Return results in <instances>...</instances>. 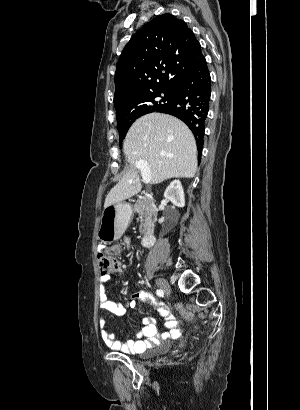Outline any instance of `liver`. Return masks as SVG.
I'll list each match as a JSON object with an SVG mask.
<instances>
[{
	"mask_svg": "<svg viewBox=\"0 0 300 410\" xmlns=\"http://www.w3.org/2000/svg\"><path fill=\"white\" fill-rule=\"evenodd\" d=\"M129 169L108 193L104 208L122 202L140 192L142 186L136 163L147 161L151 183L170 178H193L197 169L195 138L178 118L150 113L130 127L123 144Z\"/></svg>",
	"mask_w": 300,
	"mask_h": 410,
	"instance_id": "6515ba94",
	"label": "liver"
}]
</instances>
